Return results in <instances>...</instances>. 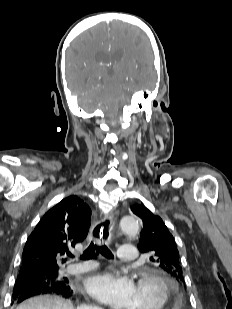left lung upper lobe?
<instances>
[{
  "instance_id": "1",
  "label": "left lung upper lobe",
  "mask_w": 232,
  "mask_h": 309,
  "mask_svg": "<svg viewBox=\"0 0 232 309\" xmlns=\"http://www.w3.org/2000/svg\"><path fill=\"white\" fill-rule=\"evenodd\" d=\"M131 210L143 222L138 249L148 254L150 261L165 271L170 277L184 283V276L176 242L163 220L153 215L143 205H133Z\"/></svg>"
}]
</instances>
